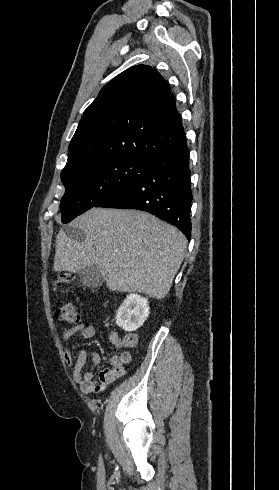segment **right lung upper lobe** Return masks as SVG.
<instances>
[{"label": "right lung upper lobe", "mask_w": 279, "mask_h": 490, "mask_svg": "<svg viewBox=\"0 0 279 490\" xmlns=\"http://www.w3.org/2000/svg\"><path fill=\"white\" fill-rule=\"evenodd\" d=\"M185 141L169 84L150 66L137 65L107 83L85 110L61 174L98 159L152 162Z\"/></svg>", "instance_id": "obj_1"}]
</instances>
